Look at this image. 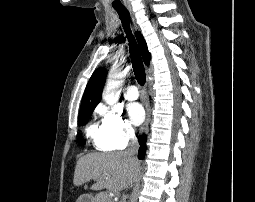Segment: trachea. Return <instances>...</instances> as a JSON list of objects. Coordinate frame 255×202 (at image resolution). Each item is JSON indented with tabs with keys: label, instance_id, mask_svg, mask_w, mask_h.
<instances>
[{
	"label": "trachea",
	"instance_id": "obj_1",
	"mask_svg": "<svg viewBox=\"0 0 255 202\" xmlns=\"http://www.w3.org/2000/svg\"><path fill=\"white\" fill-rule=\"evenodd\" d=\"M119 15V18L122 22L123 28L127 34V38L129 41V52H130V58L132 61L133 65V71L136 80L138 83L143 86L146 81V74H145V69L143 65V61L140 55V51L137 45V42L135 41L131 30H130V14L127 9L125 8H120V9H115Z\"/></svg>",
	"mask_w": 255,
	"mask_h": 202
}]
</instances>
